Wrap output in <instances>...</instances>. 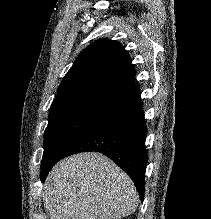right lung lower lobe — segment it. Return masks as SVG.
<instances>
[{
    "label": "right lung lower lobe",
    "mask_w": 211,
    "mask_h": 219,
    "mask_svg": "<svg viewBox=\"0 0 211 219\" xmlns=\"http://www.w3.org/2000/svg\"><path fill=\"white\" fill-rule=\"evenodd\" d=\"M147 127L140 95L120 105L76 140L60 158L96 151L111 158L133 180L144 199Z\"/></svg>",
    "instance_id": "right-lung-lower-lobe-1"
}]
</instances>
